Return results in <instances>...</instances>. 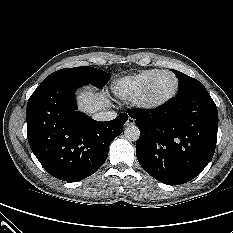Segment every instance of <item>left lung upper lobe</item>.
I'll use <instances>...</instances> for the list:
<instances>
[{"label": "left lung upper lobe", "mask_w": 233, "mask_h": 233, "mask_svg": "<svg viewBox=\"0 0 233 233\" xmlns=\"http://www.w3.org/2000/svg\"><path fill=\"white\" fill-rule=\"evenodd\" d=\"M172 72L177 76L180 82V92L179 95L186 94L194 89L205 88L204 85L198 80L187 76L186 74L172 70Z\"/></svg>", "instance_id": "1"}]
</instances>
